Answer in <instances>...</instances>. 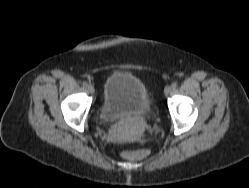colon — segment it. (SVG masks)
Wrapping results in <instances>:
<instances>
[{
    "instance_id": "colon-1",
    "label": "colon",
    "mask_w": 249,
    "mask_h": 188,
    "mask_svg": "<svg viewBox=\"0 0 249 188\" xmlns=\"http://www.w3.org/2000/svg\"><path fill=\"white\" fill-rule=\"evenodd\" d=\"M122 156L124 158L142 157L143 153L142 152H138V153L124 152V153H122Z\"/></svg>"
}]
</instances>
